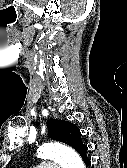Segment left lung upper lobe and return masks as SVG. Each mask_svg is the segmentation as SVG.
Listing matches in <instances>:
<instances>
[{
  "instance_id": "1",
  "label": "left lung upper lobe",
  "mask_w": 127,
  "mask_h": 168,
  "mask_svg": "<svg viewBox=\"0 0 127 168\" xmlns=\"http://www.w3.org/2000/svg\"><path fill=\"white\" fill-rule=\"evenodd\" d=\"M47 128L49 138L67 143L75 150L83 144L79 128L70 122L50 119Z\"/></svg>"
}]
</instances>
